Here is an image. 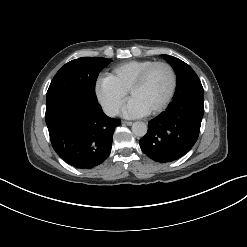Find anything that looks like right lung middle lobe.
<instances>
[{
	"label": "right lung middle lobe",
	"mask_w": 247,
	"mask_h": 247,
	"mask_svg": "<svg viewBox=\"0 0 247 247\" xmlns=\"http://www.w3.org/2000/svg\"><path fill=\"white\" fill-rule=\"evenodd\" d=\"M111 61L102 57H82L66 63L52 79L46 102L65 94L83 95L96 100V79Z\"/></svg>",
	"instance_id": "1"
}]
</instances>
